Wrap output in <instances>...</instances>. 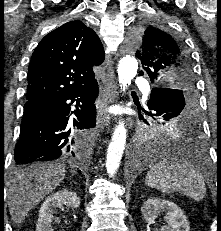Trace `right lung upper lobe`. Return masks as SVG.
I'll use <instances>...</instances> for the list:
<instances>
[{
    "instance_id": "1",
    "label": "right lung upper lobe",
    "mask_w": 221,
    "mask_h": 231,
    "mask_svg": "<svg viewBox=\"0 0 221 231\" xmlns=\"http://www.w3.org/2000/svg\"><path fill=\"white\" fill-rule=\"evenodd\" d=\"M105 54L97 34L79 20L47 34L32 54L26 99L60 90H75L96 82L92 67Z\"/></svg>"
}]
</instances>
